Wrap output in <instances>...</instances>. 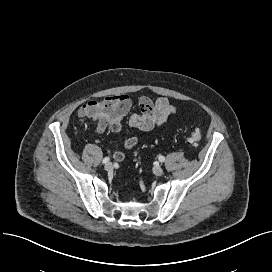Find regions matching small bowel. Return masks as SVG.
Returning <instances> with one entry per match:
<instances>
[{"label":"small bowel","instance_id":"obj_1","mask_svg":"<svg viewBox=\"0 0 272 272\" xmlns=\"http://www.w3.org/2000/svg\"><path fill=\"white\" fill-rule=\"evenodd\" d=\"M139 112L131 113V100L127 95L109 96L101 101H90L83 105L79 111V117H87L98 122L99 131H104L107 126L100 123L104 110H111V117L116 123L113 130L118 131L122 120L128 117V126L134 130L148 132L163 126L171 116L176 114L177 109L168 97H159L152 100L148 97L139 99ZM138 143L135 134L130 135L124 142V150H116L113 158L122 161L125 151L131 150Z\"/></svg>","mask_w":272,"mask_h":272}]
</instances>
